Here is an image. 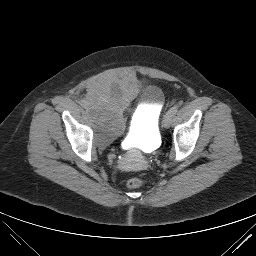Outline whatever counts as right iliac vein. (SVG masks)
<instances>
[{
    "label": "right iliac vein",
    "mask_w": 256,
    "mask_h": 256,
    "mask_svg": "<svg viewBox=\"0 0 256 256\" xmlns=\"http://www.w3.org/2000/svg\"><path fill=\"white\" fill-rule=\"evenodd\" d=\"M83 110H84L85 112H89V111L91 110V107H90L89 105H85V106L83 107Z\"/></svg>",
    "instance_id": "1"
}]
</instances>
